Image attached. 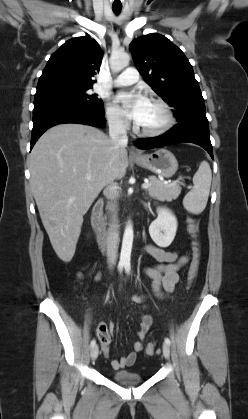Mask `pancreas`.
Masks as SVG:
<instances>
[{
  "instance_id": "cf45deb5",
  "label": "pancreas",
  "mask_w": 248,
  "mask_h": 419,
  "mask_svg": "<svg viewBox=\"0 0 248 419\" xmlns=\"http://www.w3.org/2000/svg\"><path fill=\"white\" fill-rule=\"evenodd\" d=\"M150 187L147 188L149 195L159 201L171 202L176 200L181 193V186L175 184H164L155 176L149 177Z\"/></svg>"
}]
</instances>
